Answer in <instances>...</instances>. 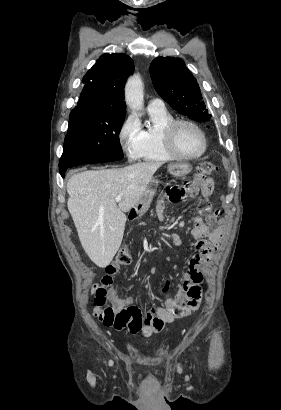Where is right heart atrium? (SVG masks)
Here are the masks:
<instances>
[{
	"label": "right heart atrium",
	"mask_w": 281,
	"mask_h": 410,
	"mask_svg": "<svg viewBox=\"0 0 281 410\" xmlns=\"http://www.w3.org/2000/svg\"><path fill=\"white\" fill-rule=\"evenodd\" d=\"M142 133L141 123L134 114L128 115L120 126L118 140L122 150L130 160L138 158Z\"/></svg>",
	"instance_id": "d8ad5b80"
}]
</instances>
